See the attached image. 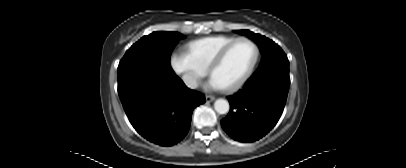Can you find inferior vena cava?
<instances>
[{
  "instance_id": "1",
  "label": "inferior vena cava",
  "mask_w": 406,
  "mask_h": 168,
  "mask_svg": "<svg viewBox=\"0 0 406 168\" xmlns=\"http://www.w3.org/2000/svg\"><path fill=\"white\" fill-rule=\"evenodd\" d=\"M183 80L188 87L195 88L197 86V78L192 74H185Z\"/></svg>"
}]
</instances>
